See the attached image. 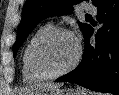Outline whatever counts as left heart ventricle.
<instances>
[{
  "label": "left heart ventricle",
  "mask_w": 119,
  "mask_h": 95,
  "mask_svg": "<svg viewBox=\"0 0 119 95\" xmlns=\"http://www.w3.org/2000/svg\"><path fill=\"white\" fill-rule=\"evenodd\" d=\"M76 51L75 39L70 35L60 34L45 44L41 52V62L48 71L57 72L72 63Z\"/></svg>",
  "instance_id": "1"
}]
</instances>
